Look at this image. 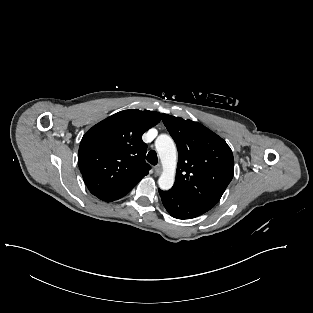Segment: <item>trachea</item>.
<instances>
[{"label":"trachea","instance_id":"3493384b","mask_svg":"<svg viewBox=\"0 0 313 313\" xmlns=\"http://www.w3.org/2000/svg\"><path fill=\"white\" fill-rule=\"evenodd\" d=\"M147 161L152 164V165H156L158 163V157L157 154L154 150H151L148 154H147Z\"/></svg>","mask_w":313,"mask_h":313}]
</instances>
